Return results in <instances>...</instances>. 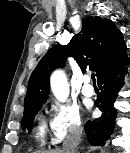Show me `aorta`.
<instances>
[{
    "instance_id": "762f6f07",
    "label": "aorta",
    "mask_w": 130,
    "mask_h": 153,
    "mask_svg": "<svg viewBox=\"0 0 130 153\" xmlns=\"http://www.w3.org/2000/svg\"><path fill=\"white\" fill-rule=\"evenodd\" d=\"M50 85L56 99L60 102H65L69 95V84L62 70H56L52 73Z\"/></svg>"
}]
</instances>
